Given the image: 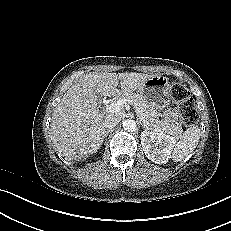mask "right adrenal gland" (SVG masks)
Returning <instances> with one entry per match:
<instances>
[{"mask_svg":"<svg viewBox=\"0 0 231 231\" xmlns=\"http://www.w3.org/2000/svg\"><path fill=\"white\" fill-rule=\"evenodd\" d=\"M110 131H107L104 137H107Z\"/></svg>","mask_w":231,"mask_h":231,"instance_id":"obj_1","label":"right adrenal gland"}]
</instances>
